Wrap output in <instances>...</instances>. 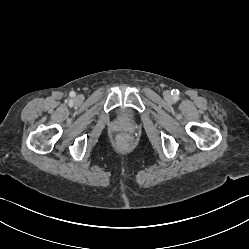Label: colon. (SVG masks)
<instances>
[{
	"mask_svg": "<svg viewBox=\"0 0 249 249\" xmlns=\"http://www.w3.org/2000/svg\"><path fill=\"white\" fill-rule=\"evenodd\" d=\"M131 138L129 136H122L121 137V142H130Z\"/></svg>",
	"mask_w": 249,
	"mask_h": 249,
	"instance_id": "5ec220e1",
	"label": "colon"
}]
</instances>
